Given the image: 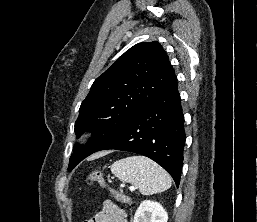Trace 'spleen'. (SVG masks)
I'll use <instances>...</instances> for the list:
<instances>
[{
	"instance_id": "3e777b00",
	"label": "spleen",
	"mask_w": 257,
	"mask_h": 222,
	"mask_svg": "<svg viewBox=\"0 0 257 222\" xmlns=\"http://www.w3.org/2000/svg\"><path fill=\"white\" fill-rule=\"evenodd\" d=\"M112 173L139 188L143 195H152L171 187V178L157 163L144 156H131L115 161Z\"/></svg>"
}]
</instances>
